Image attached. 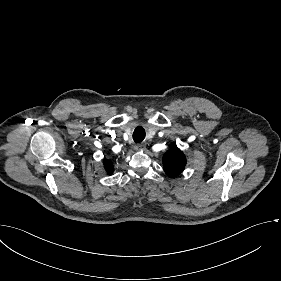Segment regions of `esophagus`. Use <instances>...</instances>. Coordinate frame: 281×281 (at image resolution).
<instances>
[{"mask_svg": "<svg viewBox=\"0 0 281 281\" xmlns=\"http://www.w3.org/2000/svg\"><path fill=\"white\" fill-rule=\"evenodd\" d=\"M145 148V145L144 144H136L135 146H134V149L136 150V151H140V150H142V149H144Z\"/></svg>", "mask_w": 281, "mask_h": 281, "instance_id": "obj_1", "label": "esophagus"}]
</instances>
